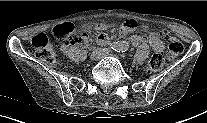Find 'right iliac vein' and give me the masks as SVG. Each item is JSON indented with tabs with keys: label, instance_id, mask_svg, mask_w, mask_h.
<instances>
[{
	"label": "right iliac vein",
	"instance_id": "63e3f726",
	"mask_svg": "<svg viewBox=\"0 0 207 123\" xmlns=\"http://www.w3.org/2000/svg\"><path fill=\"white\" fill-rule=\"evenodd\" d=\"M101 55H102V51L99 50V49H95V50L91 53V55H90V59H91L92 61L98 60V59L101 57Z\"/></svg>",
	"mask_w": 207,
	"mask_h": 123
}]
</instances>
